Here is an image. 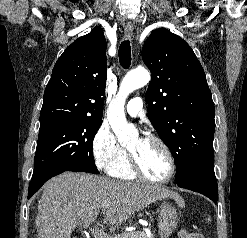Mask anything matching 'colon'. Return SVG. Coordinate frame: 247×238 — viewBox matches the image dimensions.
Here are the masks:
<instances>
[{
    "label": "colon",
    "mask_w": 247,
    "mask_h": 238,
    "mask_svg": "<svg viewBox=\"0 0 247 238\" xmlns=\"http://www.w3.org/2000/svg\"><path fill=\"white\" fill-rule=\"evenodd\" d=\"M179 238H204L200 233L183 229L179 232Z\"/></svg>",
    "instance_id": "5ec220e1"
}]
</instances>
